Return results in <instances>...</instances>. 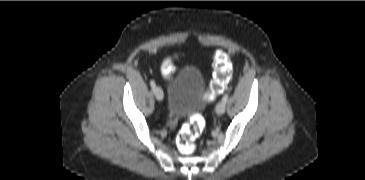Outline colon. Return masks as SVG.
Returning a JSON list of instances; mask_svg holds the SVG:
<instances>
[{"instance_id":"5ec220e1","label":"colon","mask_w":365,"mask_h":180,"mask_svg":"<svg viewBox=\"0 0 365 180\" xmlns=\"http://www.w3.org/2000/svg\"><path fill=\"white\" fill-rule=\"evenodd\" d=\"M213 79L209 86L207 99L213 100L223 92L231 76V62L229 57L222 51H216L213 55ZM171 73V65L166 64L163 69L164 75ZM205 121L201 116H193L183 125L177 136L178 150L184 155H191L195 151V141L202 133Z\"/></svg>"}]
</instances>
